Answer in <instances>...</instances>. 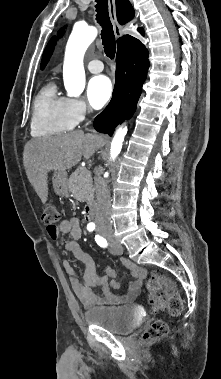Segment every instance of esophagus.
I'll list each match as a JSON object with an SVG mask.
<instances>
[{
    "label": "esophagus",
    "instance_id": "34e87169",
    "mask_svg": "<svg viewBox=\"0 0 221 379\" xmlns=\"http://www.w3.org/2000/svg\"><path fill=\"white\" fill-rule=\"evenodd\" d=\"M109 17L113 25L114 33L117 38L122 35V26L119 24L116 15V4L115 0H107Z\"/></svg>",
    "mask_w": 221,
    "mask_h": 379
}]
</instances>
